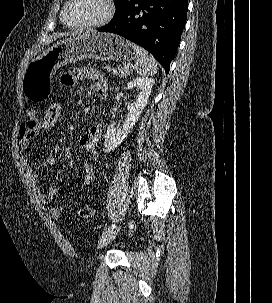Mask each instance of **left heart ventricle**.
Masks as SVG:
<instances>
[{
	"label": "left heart ventricle",
	"mask_w": 272,
	"mask_h": 303,
	"mask_svg": "<svg viewBox=\"0 0 272 303\" xmlns=\"http://www.w3.org/2000/svg\"><path fill=\"white\" fill-rule=\"evenodd\" d=\"M105 12L102 0H74L66 11V19L71 24L91 22L101 19Z\"/></svg>",
	"instance_id": "b2bd125f"
}]
</instances>
